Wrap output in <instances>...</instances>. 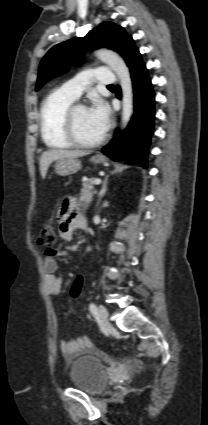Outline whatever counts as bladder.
Listing matches in <instances>:
<instances>
[{
  "instance_id": "31cf9c89",
  "label": "bladder",
  "mask_w": 208,
  "mask_h": 425,
  "mask_svg": "<svg viewBox=\"0 0 208 425\" xmlns=\"http://www.w3.org/2000/svg\"><path fill=\"white\" fill-rule=\"evenodd\" d=\"M69 381L74 388L88 394L100 393L107 383L104 358L84 352L72 363Z\"/></svg>"
}]
</instances>
